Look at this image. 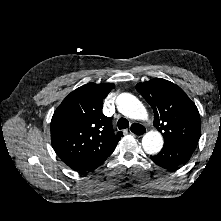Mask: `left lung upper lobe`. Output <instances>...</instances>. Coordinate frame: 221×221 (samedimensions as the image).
<instances>
[{"label": "left lung upper lobe", "mask_w": 221, "mask_h": 221, "mask_svg": "<svg viewBox=\"0 0 221 221\" xmlns=\"http://www.w3.org/2000/svg\"><path fill=\"white\" fill-rule=\"evenodd\" d=\"M136 90L152 107L154 126L162 133L164 145L199 140L198 109L180 87L164 79H152L138 83Z\"/></svg>", "instance_id": "5c2ea615"}]
</instances>
